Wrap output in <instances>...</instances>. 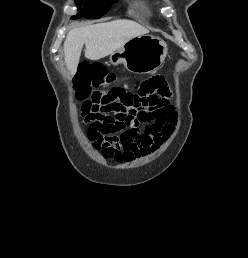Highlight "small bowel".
I'll return each instance as SVG.
<instances>
[{
	"label": "small bowel",
	"mask_w": 248,
	"mask_h": 258,
	"mask_svg": "<svg viewBox=\"0 0 248 258\" xmlns=\"http://www.w3.org/2000/svg\"><path fill=\"white\" fill-rule=\"evenodd\" d=\"M122 111L131 113L123 129L89 138L94 148L106 159L129 162L155 152L174 131L177 118L165 80L153 77L143 81L137 91L112 89ZM88 124V122H87Z\"/></svg>",
	"instance_id": "small-bowel-1"
}]
</instances>
